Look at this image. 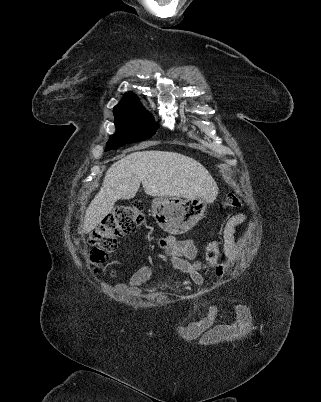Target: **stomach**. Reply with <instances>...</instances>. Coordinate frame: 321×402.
<instances>
[{"label": "stomach", "mask_w": 321, "mask_h": 402, "mask_svg": "<svg viewBox=\"0 0 321 402\" xmlns=\"http://www.w3.org/2000/svg\"><path fill=\"white\" fill-rule=\"evenodd\" d=\"M208 200L204 197H156L152 212L157 224L167 233L180 235L192 229L206 211Z\"/></svg>", "instance_id": "stomach-1"}]
</instances>
